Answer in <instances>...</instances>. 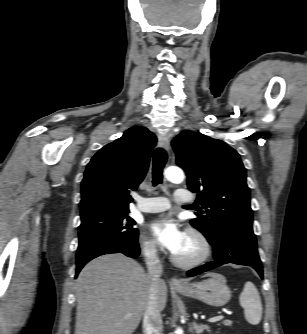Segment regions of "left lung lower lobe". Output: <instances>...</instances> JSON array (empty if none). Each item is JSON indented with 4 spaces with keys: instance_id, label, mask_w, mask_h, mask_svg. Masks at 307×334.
Returning a JSON list of instances; mask_svg holds the SVG:
<instances>
[{
    "instance_id": "obj_1",
    "label": "left lung lower lobe",
    "mask_w": 307,
    "mask_h": 334,
    "mask_svg": "<svg viewBox=\"0 0 307 334\" xmlns=\"http://www.w3.org/2000/svg\"><path fill=\"white\" fill-rule=\"evenodd\" d=\"M208 241L213 246L215 260L188 271L187 276L193 277L222 264L233 263L249 265L263 278L262 264L252 226L238 223L220 225L216 236Z\"/></svg>"
}]
</instances>
